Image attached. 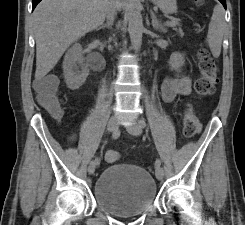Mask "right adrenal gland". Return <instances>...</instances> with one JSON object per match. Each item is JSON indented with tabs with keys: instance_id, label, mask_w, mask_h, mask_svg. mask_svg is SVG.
I'll use <instances>...</instances> for the list:
<instances>
[{
	"instance_id": "1",
	"label": "right adrenal gland",
	"mask_w": 245,
	"mask_h": 225,
	"mask_svg": "<svg viewBox=\"0 0 245 225\" xmlns=\"http://www.w3.org/2000/svg\"><path fill=\"white\" fill-rule=\"evenodd\" d=\"M112 25H113V20H109V21H107V23L101 25L96 30H100V29H104V28L110 29L112 27Z\"/></svg>"
}]
</instances>
